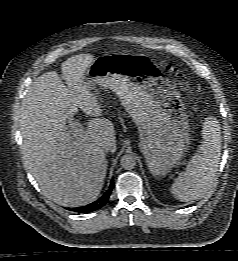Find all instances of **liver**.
Wrapping results in <instances>:
<instances>
[{"label":"liver","instance_id":"1","mask_svg":"<svg viewBox=\"0 0 238 261\" xmlns=\"http://www.w3.org/2000/svg\"><path fill=\"white\" fill-rule=\"evenodd\" d=\"M94 57L78 54L63 62L62 82L56 71L39 76L23 99L20 132L25 167L45 197L65 207L95 201L108 168L104 143L116 151L113 123L100 118L102 108L85 75ZM80 108L93 116L85 130L72 132L66 120Z\"/></svg>","mask_w":238,"mask_h":261}]
</instances>
